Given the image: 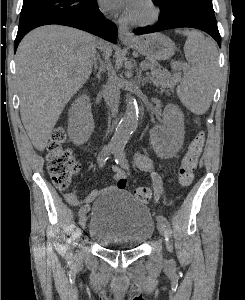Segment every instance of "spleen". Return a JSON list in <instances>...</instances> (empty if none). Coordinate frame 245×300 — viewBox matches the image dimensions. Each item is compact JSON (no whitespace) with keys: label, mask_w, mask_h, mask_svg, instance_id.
Wrapping results in <instances>:
<instances>
[{"label":"spleen","mask_w":245,"mask_h":300,"mask_svg":"<svg viewBox=\"0 0 245 300\" xmlns=\"http://www.w3.org/2000/svg\"><path fill=\"white\" fill-rule=\"evenodd\" d=\"M177 32L187 36L184 53L191 65V68L184 72L177 94L191 112L202 115L211 104L218 51L215 44L198 31Z\"/></svg>","instance_id":"spleen-1"}]
</instances>
